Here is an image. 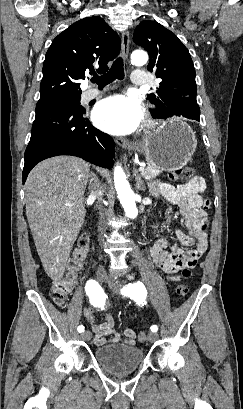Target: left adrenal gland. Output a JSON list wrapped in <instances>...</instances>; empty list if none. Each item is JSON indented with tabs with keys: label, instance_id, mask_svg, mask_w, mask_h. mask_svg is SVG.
<instances>
[{
	"label": "left adrenal gland",
	"instance_id": "obj_1",
	"mask_svg": "<svg viewBox=\"0 0 243 409\" xmlns=\"http://www.w3.org/2000/svg\"><path fill=\"white\" fill-rule=\"evenodd\" d=\"M133 176L135 177L136 181V189L139 191L146 190V186L144 185L141 176L139 175L138 170L136 168L133 169Z\"/></svg>",
	"mask_w": 243,
	"mask_h": 409
}]
</instances>
